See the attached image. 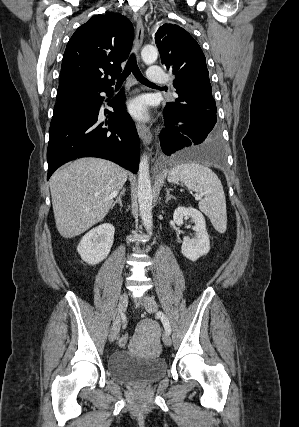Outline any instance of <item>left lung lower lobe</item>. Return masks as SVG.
<instances>
[{
	"instance_id": "1",
	"label": "left lung lower lobe",
	"mask_w": 299,
	"mask_h": 427,
	"mask_svg": "<svg viewBox=\"0 0 299 427\" xmlns=\"http://www.w3.org/2000/svg\"><path fill=\"white\" fill-rule=\"evenodd\" d=\"M212 106L178 97L165 106V129L160 134L165 155L206 164L224 163L221 134Z\"/></svg>"
}]
</instances>
